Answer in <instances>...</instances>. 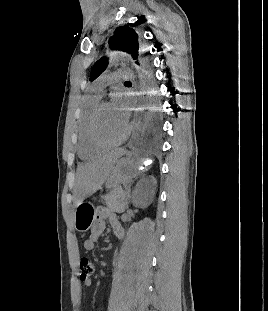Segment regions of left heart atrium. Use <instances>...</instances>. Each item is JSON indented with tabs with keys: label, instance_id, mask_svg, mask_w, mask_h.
Segmentation results:
<instances>
[{
	"label": "left heart atrium",
	"instance_id": "obj_1",
	"mask_svg": "<svg viewBox=\"0 0 268 311\" xmlns=\"http://www.w3.org/2000/svg\"><path fill=\"white\" fill-rule=\"evenodd\" d=\"M111 106L114 109V111L117 113L119 118L123 122L127 123L128 116H129L128 114L129 109L126 107V103H125V100L122 94L117 93L113 95Z\"/></svg>",
	"mask_w": 268,
	"mask_h": 311
}]
</instances>
